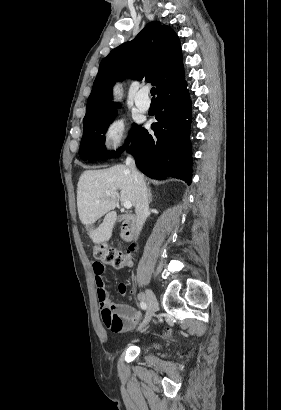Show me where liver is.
<instances>
[{
    "label": "liver",
    "mask_w": 281,
    "mask_h": 410,
    "mask_svg": "<svg viewBox=\"0 0 281 410\" xmlns=\"http://www.w3.org/2000/svg\"><path fill=\"white\" fill-rule=\"evenodd\" d=\"M117 197L122 202L130 201L133 206L136 205L134 179L127 166L86 170L80 176L77 185L78 214L95 244L105 243L112 236L117 220V213L114 211L118 203ZM103 215V222L94 228V223Z\"/></svg>",
    "instance_id": "1"
}]
</instances>
